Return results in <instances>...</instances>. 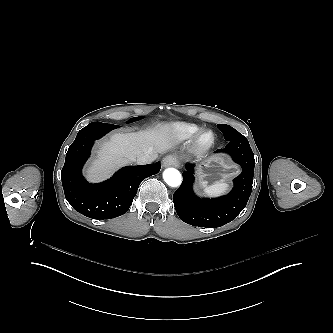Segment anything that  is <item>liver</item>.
Segmentation results:
<instances>
[{"instance_id": "1", "label": "liver", "mask_w": 333, "mask_h": 333, "mask_svg": "<svg viewBox=\"0 0 333 333\" xmlns=\"http://www.w3.org/2000/svg\"><path fill=\"white\" fill-rule=\"evenodd\" d=\"M175 139L172 126L163 123L135 133H113L108 140L96 146V158L85 170L87 180H105L117 168L136 162V158L143 154H150L156 159L158 153H165L174 147L177 143Z\"/></svg>"}]
</instances>
